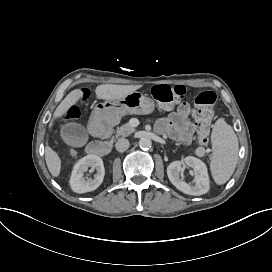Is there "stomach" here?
I'll list each match as a JSON object with an SVG mask.
<instances>
[{
	"label": "stomach",
	"mask_w": 272,
	"mask_h": 272,
	"mask_svg": "<svg viewBox=\"0 0 272 272\" xmlns=\"http://www.w3.org/2000/svg\"><path fill=\"white\" fill-rule=\"evenodd\" d=\"M106 104L109 108H113L121 115L126 113L138 115L151 114L156 106V103L152 98L136 91L120 100L108 101Z\"/></svg>",
	"instance_id": "0dacf381"
}]
</instances>
